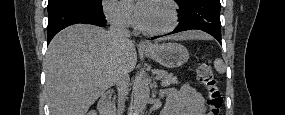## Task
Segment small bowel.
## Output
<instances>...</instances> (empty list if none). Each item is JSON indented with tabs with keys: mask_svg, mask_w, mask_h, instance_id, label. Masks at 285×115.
I'll list each match as a JSON object with an SVG mask.
<instances>
[{
	"mask_svg": "<svg viewBox=\"0 0 285 115\" xmlns=\"http://www.w3.org/2000/svg\"><path fill=\"white\" fill-rule=\"evenodd\" d=\"M165 101L161 115L207 114L202 95L189 84L183 85L180 90H168Z\"/></svg>",
	"mask_w": 285,
	"mask_h": 115,
	"instance_id": "c3829d8e",
	"label": "small bowel"
}]
</instances>
